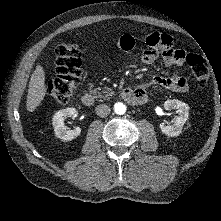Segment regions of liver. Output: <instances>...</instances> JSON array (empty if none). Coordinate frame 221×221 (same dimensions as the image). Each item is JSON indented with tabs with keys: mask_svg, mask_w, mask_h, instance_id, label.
Listing matches in <instances>:
<instances>
[{
	"mask_svg": "<svg viewBox=\"0 0 221 221\" xmlns=\"http://www.w3.org/2000/svg\"><path fill=\"white\" fill-rule=\"evenodd\" d=\"M45 95V72L41 65H37L29 82V89L26 101L27 110L29 112H33L40 105Z\"/></svg>",
	"mask_w": 221,
	"mask_h": 221,
	"instance_id": "6515ba94",
	"label": "liver"
}]
</instances>
